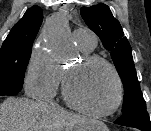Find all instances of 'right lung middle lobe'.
<instances>
[{"mask_svg": "<svg viewBox=\"0 0 151 131\" xmlns=\"http://www.w3.org/2000/svg\"><path fill=\"white\" fill-rule=\"evenodd\" d=\"M32 45H8L0 50V96L21 91Z\"/></svg>", "mask_w": 151, "mask_h": 131, "instance_id": "1", "label": "right lung middle lobe"}]
</instances>
